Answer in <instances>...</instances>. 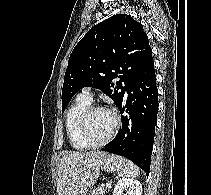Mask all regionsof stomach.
Masks as SVG:
<instances>
[{
    "label": "stomach",
    "instance_id": "1",
    "mask_svg": "<svg viewBox=\"0 0 211 195\" xmlns=\"http://www.w3.org/2000/svg\"><path fill=\"white\" fill-rule=\"evenodd\" d=\"M98 163L99 165L91 172L87 179L89 183H95L97 181L100 169L105 172H118L126 167V160L114 154L102 156ZM82 195H86V192Z\"/></svg>",
    "mask_w": 211,
    "mask_h": 195
}]
</instances>
